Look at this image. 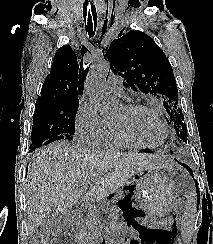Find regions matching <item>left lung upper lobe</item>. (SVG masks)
<instances>
[{
	"mask_svg": "<svg viewBox=\"0 0 213 244\" xmlns=\"http://www.w3.org/2000/svg\"><path fill=\"white\" fill-rule=\"evenodd\" d=\"M123 30L112 41L104 58L109 60L113 73L123 77L133 90L163 103L168 124L187 143L184 115L177 106V84L168 58L147 34Z\"/></svg>",
	"mask_w": 213,
	"mask_h": 244,
	"instance_id": "left-lung-upper-lobe-1",
	"label": "left lung upper lobe"
}]
</instances>
